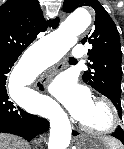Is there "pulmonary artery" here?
I'll return each instance as SVG.
<instances>
[{"label":"pulmonary artery","mask_w":124,"mask_h":149,"mask_svg":"<svg viewBox=\"0 0 124 149\" xmlns=\"http://www.w3.org/2000/svg\"><path fill=\"white\" fill-rule=\"evenodd\" d=\"M71 53L74 58L82 59L85 56V45L77 44Z\"/></svg>","instance_id":"pulmonary-artery-1"}]
</instances>
